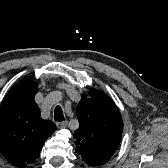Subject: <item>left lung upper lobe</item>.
I'll return each instance as SVG.
<instances>
[{
  "label": "left lung upper lobe",
  "mask_w": 168,
  "mask_h": 168,
  "mask_svg": "<svg viewBox=\"0 0 168 168\" xmlns=\"http://www.w3.org/2000/svg\"><path fill=\"white\" fill-rule=\"evenodd\" d=\"M79 128L75 131L76 152L91 166L107 162L120 144L123 122L113 100L103 92L90 90L76 109Z\"/></svg>",
  "instance_id": "5c2ea615"
}]
</instances>
